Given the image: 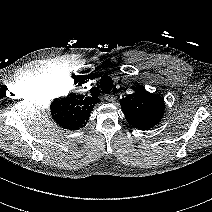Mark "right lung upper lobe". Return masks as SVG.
<instances>
[{
	"label": "right lung upper lobe",
	"instance_id": "cb5924a9",
	"mask_svg": "<svg viewBox=\"0 0 212 212\" xmlns=\"http://www.w3.org/2000/svg\"><path fill=\"white\" fill-rule=\"evenodd\" d=\"M99 102L97 95L84 97L73 93L66 98L55 99L51 104V114L60 127L78 130L86 125L93 107Z\"/></svg>",
	"mask_w": 212,
	"mask_h": 212
}]
</instances>
